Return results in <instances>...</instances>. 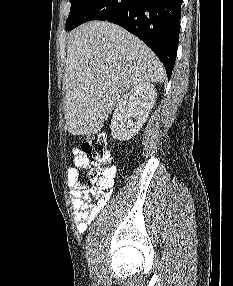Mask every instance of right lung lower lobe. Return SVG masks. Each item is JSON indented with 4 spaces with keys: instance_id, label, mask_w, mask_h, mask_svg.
I'll return each mask as SVG.
<instances>
[{
    "instance_id": "1",
    "label": "right lung lower lobe",
    "mask_w": 233,
    "mask_h": 286,
    "mask_svg": "<svg viewBox=\"0 0 233 286\" xmlns=\"http://www.w3.org/2000/svg\"><path fill=\"white\" fill-rule=\"evenodd\" d=\"M182 0H90L70 31L90 20L118 24L146 43L164 64L168 79L176 59Z\"/></svg>"
}]
</instances>
